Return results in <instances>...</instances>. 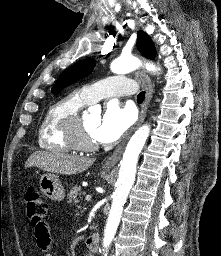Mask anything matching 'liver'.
Instances as JSON below:
<instances>
[{
	"label": "liver",
	"instance_id": "1",
	"mask_svg": "<svg viewBox=\"0 0 221 256\" xmlns=\"http://www.w3.org/2000/svg\"><path fill=\"white\" fill-rule=\"evenodd\" d=\"M93 160L77 155H69L57 151H37L30 155L25 168L37 167L51 173L73 175L86 171Z\"/></svg>",
	"mask_w": 221,
	"mask_h": 256
}]
</instances>
